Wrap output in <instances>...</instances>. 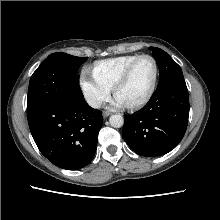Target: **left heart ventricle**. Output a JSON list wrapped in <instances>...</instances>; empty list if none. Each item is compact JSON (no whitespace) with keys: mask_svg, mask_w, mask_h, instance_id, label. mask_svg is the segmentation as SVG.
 <instances>
[{"mask_svg":"<svg viewBox=\"0 0 220 220\" xmlns=\"http://www.w3.org/2000/svg\"><path fill=\"white\" fill-rule=\"evenodd\" d=\"M154 64L148 59H141L134 67L128 81L117 91L116 96L126 105L142 100L149 92L154 79Z\"/></svg>","mask_w":220,"mask_h":220,"instance_id":"left-heart-ventricle-1","label":"left heart ventricle"}]
</instances>
